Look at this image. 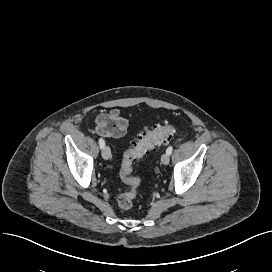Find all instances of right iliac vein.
I'll list each match as a JSON object with an SVG mask.
<instances>
[{"instance_id":"right-iliac-vein-1","label":"right iliac vein","mask_w":272,"mask_h":272,"mask_svg":"<svg viewBox=\"0 0 272 272\" xmlns=\"http://www.w3.org/2000/svg\"><path fill=\"white\" fill-rule=\"evenodd\" d=\"M110 156H111V150H110L109 146L105 145V146L102 148V157H103L105 160H108V159H110Z\"/></svg>"}]
</instances>
